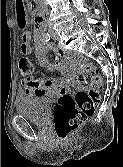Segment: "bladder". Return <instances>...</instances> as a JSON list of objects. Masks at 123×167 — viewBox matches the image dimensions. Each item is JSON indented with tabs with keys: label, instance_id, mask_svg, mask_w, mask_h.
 I'll return each mask as SVG.
<instances>
[{
	"label": "bladder",
	"instance_id": "1",
	"mask_svg": "<svg viewBox=\"0 0 123 167\" xmlns=\"http://www.w3.org/2000/svg\"><path fill=\"white\" fill-rule=\"evenodd\" d=\"M15 107L18 115L30 122L45 124L52 109V100L48 97L19 95Z\"/></svg>",
	"mask_w": 123,
	"mask_h": 167
}]
</instances>
